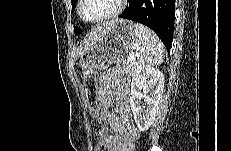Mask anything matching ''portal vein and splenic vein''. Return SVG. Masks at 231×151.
I'll list each match as a JSON object with an SVG mask.
<instances>
[{"label":"portal vein and splenic vein","mask_w":231,"mask_h":151,"mask_svg":"<svg viewBox=\"0 0 231 151\" xmlns=\"http://www.w3.org/2000/svg\"><path fill=\"white\" fill-rule=\"evenodd\" d=\"M135 60V55L134 54H131L127 57V59L125 60V62L127 63H131Z\"/></svg>","instance_id":"18ae733b"}]
</instances>
